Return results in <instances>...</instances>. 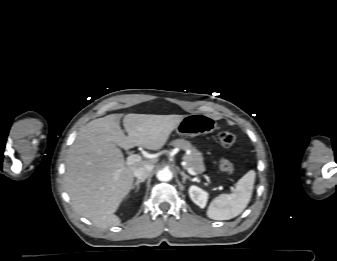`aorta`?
<instances>
[{"mask_svg": "<svg viewBox=\"0 0 337 261\" xmlns=\"http://www.w3.org/2000/svg\"><path fill=\"white\" fill-rule=\"evenodd\" d=\"M173 177L172 172L169 169H162L157 172V179L160 181H170Z\"/></svg>", "mask_w": 337, "mask_h": 261, "instance_id": "762f6f07", "label": "aorta"}]
</instances>
